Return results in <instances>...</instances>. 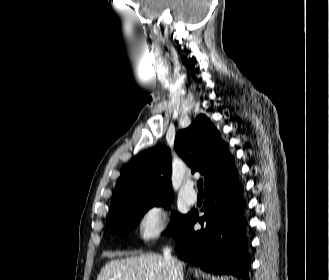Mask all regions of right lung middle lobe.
Here are the masks:
<instances>
[{"label":"right lung middle lobe","instance_id":"obj_1","mask_svg":"<svg viewBox=\"0 0 329 280\" xmlns=\"http://www.w3.org/2000/svg\"><path fill=\"white\" fill-rule=\"evenodd\" d=\"M171 202L172 197L170 196L145 197L128 202L124 207L109 214L107 228L111 233L125 237L138 225L141 217L149 208L165 206ZM186 218L187 215L174 212L167 233L174 234Z\"/></svg>","mask_w":329,"mask_h":280}]
</instances>
